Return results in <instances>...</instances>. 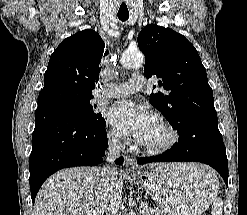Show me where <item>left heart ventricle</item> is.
<instances>
[{"instance_id":"1","label":"left heart ventricle","mask_w":247,"mask_h":215,"mask_svg":"<svg viewBox=\"0 0 247 215\" xmlns=\"http://www.w3.org/2000/svg\"><path fill=\"white\" fill-rule=\"evenodd\" d=\"M165 137L164 130L157 124L144 144H159L164 141Z\"/></svg>"}]
</instances>
